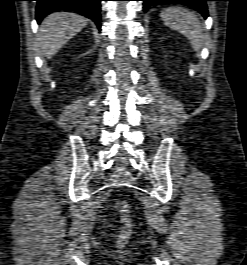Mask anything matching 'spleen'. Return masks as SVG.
I'll return each mask as SVG.
<instances>
[{
    "label": "spleen",
    "instance_id": "1",
    "mask_svg": "<svg viewBox=\"0 0 247 265\" xmlns=\"http://www.w3.org/2000/svg\"><path fill=\"white\" fill-rule=\"evenodd\" d=\"M161 19L166 26L179 31L191 42L196 51H200L204 42V34L197 16L181 7H169L164 9Z\"/></svg>",
    "mask_w": 247,
    "mask_h": 265
}]
</instances>
